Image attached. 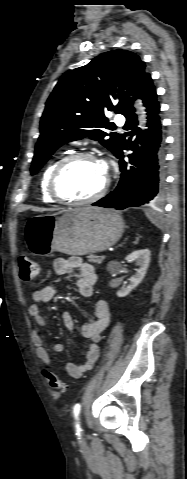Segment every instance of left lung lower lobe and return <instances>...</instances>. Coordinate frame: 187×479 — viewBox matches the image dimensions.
Segmentation results:
<instances>
[{
  "instance_id": "obj_1",
  "label": "left lung lower lobe",
  "mask_w": 187,
  "mask_h": 479,
  "mask_svg": "<svg viewBox=\"0 0 187 479\" xmlns=\"http://www.w3.org/2000/svg\"><path fill=\"white\" fill-rule=\"evenodd\" d=\"M147 108V126L142 138V131L137 126L135 109L130 106L123 114L126 118L124 128L129 130L130 155L128 165L124 161L121 143L116 157L120 159L121 178L118 186L106 197L94 203V206L125 209L158 204L164 196V142L161 131L160 105L151 77H146L137 96ZM133 140V141H132ZM144 141V142H143ZM139 143L142 148L139 147Z\"/></svg>"
}]
</instances>
